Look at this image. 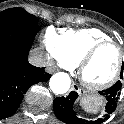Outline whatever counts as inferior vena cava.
<instances>
[{"label":"inferior vena cava","instance_id":"obj_1","mask_svg":"<svg viewBox=\"0 0 124 124\" xmlns=\"http://www.w3.org/2000/svg\"><path fill=\"white\" fill-rule=\"evenodd\" d=\"M29 62L32 65L37 66V67H41V66L45 65V60H44L43 56L37 51H34L30 54Z\"/></svg>","mask_w":124,"mask_h":124}]
</instances>
